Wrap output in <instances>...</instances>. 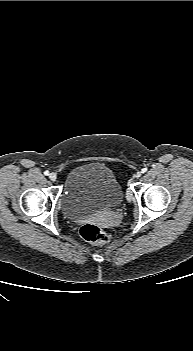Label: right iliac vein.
I'll use <instances>...</instances> for the list:
<instances>
[{"label": "right iliac vein", "mask_w": 193, "mask_h": 351, "mask_svg": "<svg viewBox=\"0 0 193 351\" xmlns=\"http://www.w3.org/2000/svg\"><path fill=\"white\" fill-rule=\"evenodd\" d=\"M49 179L51 180V181H56L57 180V175H56V173H50L49 174Z\"/></svg>", "instance_id": "63e3f726"}]
</instances>
